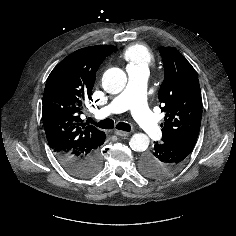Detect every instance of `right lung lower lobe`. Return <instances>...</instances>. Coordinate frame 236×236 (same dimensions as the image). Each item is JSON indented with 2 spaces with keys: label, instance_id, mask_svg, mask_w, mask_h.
Masks as SVG:
<instances>
[{
  "label": "right lung lower lobe",
  "instance_id": "right-lung-lower-lobe-1",
  "mask_svg": "<svg viewBox=\"0 0 236 236\" xmlns=\"http://www.w3.org/2000/svg\"><path fill=\"white\" fill-rule=\"evenodd\" d=\"M105 141V138H104ZM103 141V143H104ZM102 143V144H103ZM63 166L73 175L79 177L93 176L101 169L102 158L100 154V147L94 150L85 159H76L73 157L59 158Z\"/></svg>",
  "mask_w": 236,
  "mask_h": 236
}]
</instances>
